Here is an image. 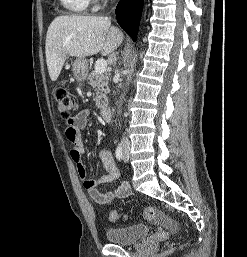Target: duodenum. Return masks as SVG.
Segmentation results:
<instances>
[{
  "instance_id": "duodenum-1",
  "label": "duodenum",
  "mask_w": 247,
  "mask_h": 257,
  "mask_svg": "<svg viewBox=\"0 0 247 257\" xmlns=\"http://www.w3.org/2000/svg\"><path fill=\"white\" fill-rule=\"evenodd\" d=\"M101 115L105 121H110L112 118V110L108 106H104L101 108Z\"/></svg>"
}]
</instances>
